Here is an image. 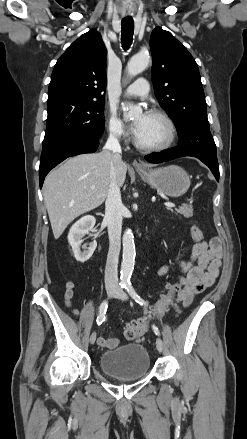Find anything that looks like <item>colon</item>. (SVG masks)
<instances>
[{"mask_svg": "<svg viewBox=\"0 0 247 439\" xmlns=\"http://www.w3.org/2000/svg\"><path fill=\"white\" fill-rule=\"evenodd\" d=\"M191 236L196 243H201L203 240V233L197 226L191 227ZM181 284H169L166 292L153 305L150 313L143 318L129 322L125 328V337L128 340H136L143 336L148 328L150 318L160 319L164 316L166 311L175 303L176 293L180 290Z\"/></svg>", "mask_w": 247, "mask_h": 439, "instance_id": "5ec220e1", "label": "colon"}]
</instances>
